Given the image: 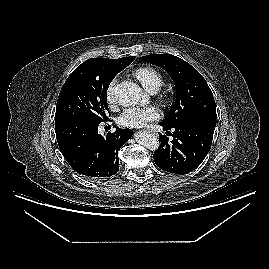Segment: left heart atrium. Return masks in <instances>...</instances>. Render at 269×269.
Masks as SVG:
<instances>
[{
  "mask_svg": "<svg viewBox=\"0 0 269 269\" xmlns=\"http://www.w3.org/2000/svg\"><path fill=\"white\" fill-rule=\"evenodd\" d=\"M159 117L158 110L153 106L131 107L122 112L118 118L121 126L139 128L148 122L155 121Z\"/></svg>",
  "mask_w": 269,
  "mask_h": 269,
  "instance_id": "left-heart-atrium-1",
  "label": "left heart atrium"
}]
</instances>
